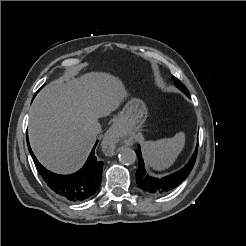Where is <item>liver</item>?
<instances>
[{"label":"liver","instance_id":"liver-1","mask_svg":"<svg viewBox=\"0 0 246 246\" xmlns=\"http://www.w3.org/2000/svg\"><path fill=\"white\" fill-rule=\"evenodd\" d=\"M125 98L123 83L106 73L66 76L48 84L29 115V140L38 160L56 173L78 170L96 139L91 121L115 111Z\"/></svg>","mask_w":246,"mask_h":246}]
</instances>
